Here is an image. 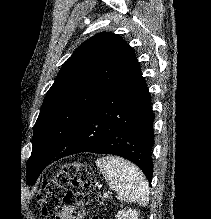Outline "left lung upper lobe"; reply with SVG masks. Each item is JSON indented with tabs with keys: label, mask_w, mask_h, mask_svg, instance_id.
Instances as JSON below:
<instances>
[{
	"label": "left lung upper lobe",
	"mask_w": 211,
	"mask_h": 219,
	"mask_svg": "<svg viewBox=\"0 0 211 219\" xmlns=\"http://www.w3.org/2000/svg\"><path fill=\"white\" fill-rule=\"evenodd\" d=\"M136 61L134 50L117 34L102 32L82 43L60 69L46 94L33 131L32 154L50 157L66 146L91 107ZM27 162V179L36 182L43 168Z\"/></svg>",
	"instance_id": "5c2ea615"
}]
</instances>
